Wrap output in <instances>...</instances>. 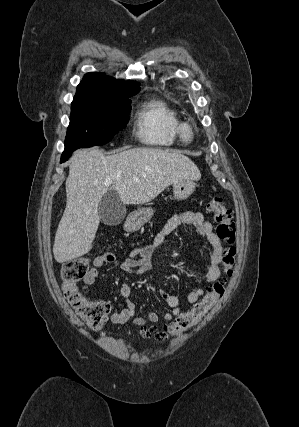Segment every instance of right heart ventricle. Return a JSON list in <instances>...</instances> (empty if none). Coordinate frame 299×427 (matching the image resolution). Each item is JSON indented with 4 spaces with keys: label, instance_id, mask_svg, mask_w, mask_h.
Masks as SVG:
<instances>
[{
    "label": "right heart ventricle",
    "instance_id": "1",
    "mask_svg": "<svg viewBox=\"0 0 299 427\" xmlns=\"http://www.w3.org/2000/svg\"><path fill=\"white\" fill-rule=\"evenodd\" d=\"M180 119L176 110L165 100L148 97L137 107L134 134L144 145L167 149L177 142Z\"/></svg>",
    "mask_w": 299,
    "mask_h": 427
}]
</instances>
